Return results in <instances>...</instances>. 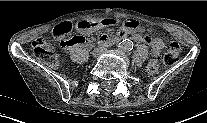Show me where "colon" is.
<instances>
[{"label":"colon","instance_id":"colon-1","mask_svg":"<svg viewBox=\"0 0 207 123\" xmlns=\"http://www.w3.org/2000/svg\"><path fill=\"white\" fill-rule=\"evenodd\" d=\"M71 32L72 25L68 22L58 24L53 29L54 37L59 40L63 46H71L82 42L81 37H72ZM181 50V45L176 41H172L163 56L154 57L148 62L146 71L149 74H155L164 66H174L179 59ZM33 53L39 60L52 67L58 65V59L53 53L52 46L43 37H38L34 40Z\"/></svg>","mask_w":207,"mask_h":123}]
</instances>
